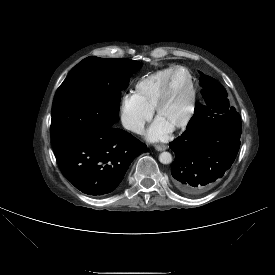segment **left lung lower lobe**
<instances>
[{
  "instance_id": "left-lung-lower-lobe-1",
  "label": "left lung lower lobe",
  "mask_w": 275,
  "mask_h": 275,
  "mask_svg": "<svg viewBox=\"0 0 275 275\" xmlns=\"http://www.w3.org/2000/svg\"><path fill=\"white\" fill-rule=\"evenodd\" d=\"M241 133L209 124L184 132L169 147L175 153L172 182L187 195L212 189L234 162Z\"/></svg>"
}]
</instances>
